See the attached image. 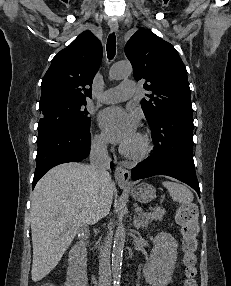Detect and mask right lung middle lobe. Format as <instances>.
Instances as JSON below:
<instances>
[{
  "label": "right lung middle lobe",
  "mask_w": 231,
  "mask_h": 286,
  "mask_svg": "<svg viewBox=\"0 0 231 286\" xmlns=\"http://www.w3.org/2000/svg\"><path fill=\"white\" fill-rule=\"evenodd\" d=\"M84 105L86 101H56L39 106L41 118L38 124V137L59 128L88 129L90 118Z\"/></svg>",
  "instance_id": "right-lung-middle-lobe-1"
}]
</instances>
